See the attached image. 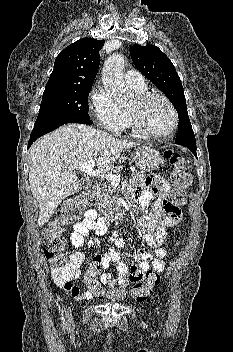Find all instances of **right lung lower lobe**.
I'll return each instance as SVG.
<instances>
[{
	"mask_svg": "<svg viewBox=\"0 0 233 352\" xmlns=\"http://www.w3.org/2000/svg\"><path fill=\"white\" fill-rule=\"evenodd\" d=\"M67 123H83V124H89L91 125L93 122L87 118H77V117H71L47 124H43L40 126H36L33 128V131L31 132L30 139L28 142V148L32 145V143L42 135L49 133L55 129H57L59 126H62Z\"/></svg>",
	"mask_w": 233,
	"mask_h": 352,
	"instance_id": "obj_1",
	"label": "right lung lower lobe"
}]
</instances>
